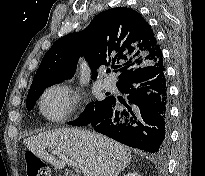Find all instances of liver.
Masks as SVG:
<instances>
[{
	"instance_id": "1",
	"label": "liver",
	"mask_w": 205,
	"mask_h": 176,
	"mask_svg": "<svg viewBox=\"0 0 205 176\" xmlns=\"http://www.w3.org/2000/svg\"><path fill=\"white\" fill-rule=\"evenodd\" d=\"M24 145L40 159L58 169L65 167L63 160L49 155L46 149L69 156L86 167L91 176H118L131 161L128 147L90 131L59 128L24 139Z\"/></svg>"
}]
</instances>
